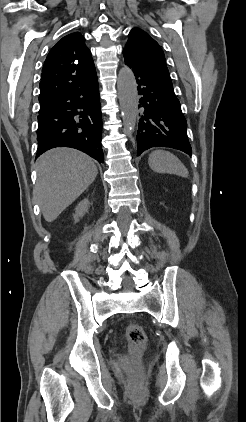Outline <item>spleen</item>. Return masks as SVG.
Returning a JSON list of instances; mask_svg holds the SVG:
<instances>
[{
	"label": "spleen",
	"mask_w": 246,
	"mask_h": 422,
	"mask_svg": "<svg viewBox=\"0 0 246 422\" xmlns=\"http://www.w3.org/2000/svg\"><path fill=\"white\" fill-rule=\"evenodd\" d=\"M148 163L150 168L158 173L176 174L184 178L189 175V172L184 164L169 151H153L149 155Z\"/></svg>",
	"instance_id": "3e777b00"
}]
</instances>
